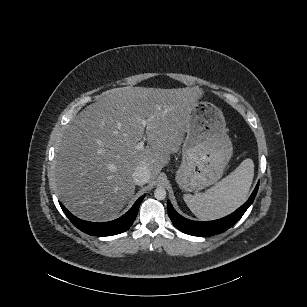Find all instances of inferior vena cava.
<instances>
[{
    "mask_svg": "<svg viewBox=\"0 0 307 307\" xmlns=\"http://www.w3.org/2000/svg\"><path fill=\"white\" fill-rule=\"evenodd\" d=\"M132 176L136 185H143L150 179V170L148 169L147 165L143 164L136 167Z\"/></svg>",
    "mask_w": 307,
    "mask_h": 307,
    "instance_id": "obj_1",
    "label": "inferior vena cava"
}]
</instances>
